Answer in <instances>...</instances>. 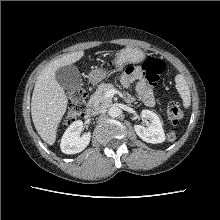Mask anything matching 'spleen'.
<instances>
[{"label": "spleen", "mask_w": 220, "mask_h": 220, "mask_svg": "<svg viewBox=\"0 0 220 220\" xmlns=\"http://www.w3.org/2000/svg\"><path fill=\"white\" fill-rule=\"evenodd\" d=\"M175 82H176V89L178 90L183 100V106L185 108H188L191 103V97L187 82L184 79V77L180 74L175 77Z\"/></svg>", "instance_id": "spleen-1"}]
</instances>
